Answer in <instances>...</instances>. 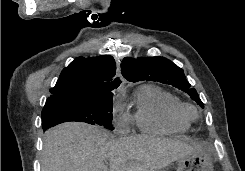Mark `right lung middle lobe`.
<instances>
[{"mask_svg": "<svg viewBox=\"0 0 245 171\" xmlns=\"http://www.w3.org/2000/svg\"><path fill=\"white\" fill-rule=\"evenodd\" d=\"M112 110L111 95L90 100L46 102L42 110V127L44 129L67 121H80L113 130Z\"/></svg>", "mask_w": 245, "mask_h": 171, "instance_id": "right-lung-middle-lobe-1", "label": "right lung middle lobe"}]
</instances>
